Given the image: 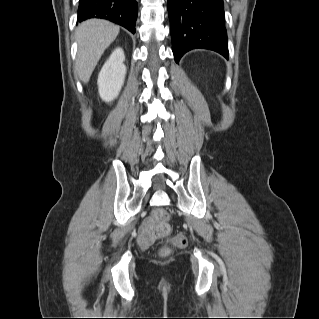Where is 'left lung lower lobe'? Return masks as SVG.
Returning a JSON list of instances; mask_svg holds the SVG:
<instances>
[{"label":"left lung lower lobe","mask_w":319,"mask_h":319,"mask_svg":"<svg viewBox=\"0 0 319 319\" xmlns=\"http://www.w3.org/2000/svg\"><path fill=\"white\" fill-rule=\"evenodd\" d=\"M176 63L189 50L216 51L228 59L223 0H168Z\"/></svg>","instance_id":"1"}]
</instances>
